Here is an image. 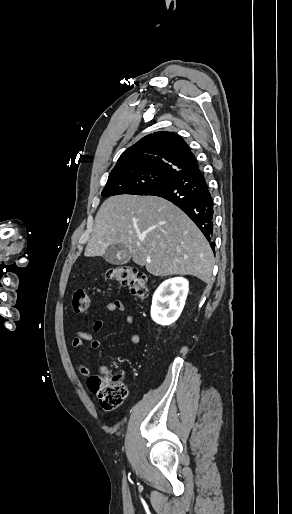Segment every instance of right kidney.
<instances>
[{
	"instance_id": "obj_1",
	"label": "right kidney",
	"mask_w": 292,
	"mask_h": 514,
	"mask_svg": "<svg viewBox=\"0 0 292 514\" xmlns=\"http://www.w3.org/2000/svg\"><path fill=\"white\" fill-rule=\"evenodd\" d=\"M185 278H170L157 288L151 306V318L156 324L170 326L179 318L189 292Z\"/></svg>"
}]
</instances>
